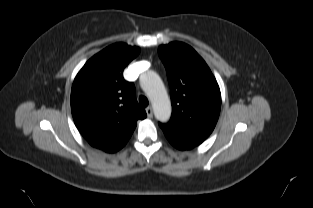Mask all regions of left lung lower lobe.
Listing matches in <instances>:
<instances>
[{
    "mask_svg": "<svg viewBox=\"0 0 313 208\" xmlns=\"http://www.w3.org/2000/svg\"><path fill=\"white\" fill-rule=\"evenodd\" d=\"M169 142L176 148L180 149V150H189V149H192L193 146L191 145H188V144H184V143H181V142H175V141H171L169 140Z\"/></svg>",
    "mask_w": 313,
    "mask_h": 208,
    "instance_id": "1",
    "label": "left lung lower lobe"
}]
</instances>
